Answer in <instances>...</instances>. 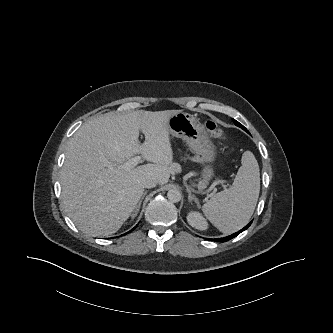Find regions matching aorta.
I'll return each mask as SVG.
<instances>
[{"label": "aorta", "instance_id": "762f6f07", "mask_svg": "<svg viewBox=\"0 0 333 333\" xmlns=\"http://www.w3.org/2000/svg\"><path fill=\"white\" fill-rule=\"evenodd\" d=\"M167 198L173 203H177L181 200V193L177 189H170L167 193Z\"/></svg>", "mask_w": 333, "mask_h": 333}]
</instances>
